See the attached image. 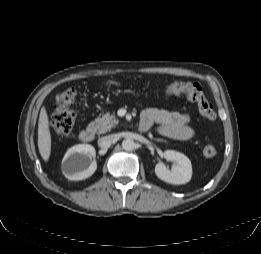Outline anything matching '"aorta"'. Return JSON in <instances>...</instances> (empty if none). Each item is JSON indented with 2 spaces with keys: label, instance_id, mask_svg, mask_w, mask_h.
<instances>
[{
  "label": "aorta",
  "instance_id": "1",
  "mask_svg": "<svg viewBox=\"0 0 261 254\" xmlns=\"http://www.w3.org/2000/svg\"><path fill=\"white\" fill-rule=\"evenodd\" d=\"M122 148L125 151H132L135 148V142L132 139H125L122 141Z\"/></svg>",
  "mask_w": 261,
  "mask_h": 254
}]
</instances>
